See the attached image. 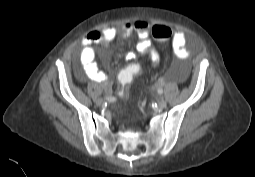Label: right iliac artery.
Returning a JSON list of instances; mask_svg holds the SVG:
<instances>
[{
  "label": "right iliac artery",
  "instance_id": "right-iliac-artery-1",
  "mask_svg": "<svg viewBox=\"0 0 255 177\" xmlns=\"http://www.w3.org/2000/svg\"><path fill=\"white\" fill-rule=\"evenodd\" d=\"M106 100H108L109 102H114L116 101V98L115 97H106Z\"/></svg>",
  "mask_w": 255,
  "mask_h": 177
}]
</instances>
